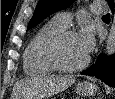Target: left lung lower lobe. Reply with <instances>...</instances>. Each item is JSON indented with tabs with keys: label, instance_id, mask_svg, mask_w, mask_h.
<instances>
[{
	"label": "left lung lower lobe",
	"instance_id": "1",
	"mask_svg": "<svg viewBox=\"0 0 115 99\" xmlns=\"http://www.w3.org/2000/svg\"><path fill=\"white\" fill-rule=\"evenodd\" d=\"M110 7L114 11V4ZM81 74L95 76L107 85L115 87V54L110 57L100 54L96 63L81 72Z\"/></svg>",
	"mask_w": 115,
	"mask_h": 99
}]
</instances>
